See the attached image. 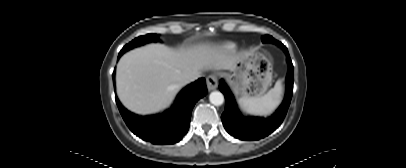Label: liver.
Instances as JSON below:
<instances>
[{
	"label": "liver",
	"mask_w": 406,
	"mask_h": 168,
	"mask_svg": "<svg viewBox=\"0 0 406 168\" xmlns=\"http://www.w3.org/2000/svg\"><path fill=\"white\" fill-rule=\"evenodd\" d=\"M240 54L230 55L201 43L175 50L162 44H149L124 54L117 64V94L132 112L146 115L170 106L185 74L208 69L232 70Z\"/></svg>",
	"instance_id": "6515ba94"
}]
</instances>
